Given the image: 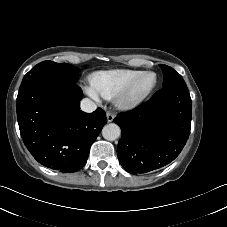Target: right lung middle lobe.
Here are the masks:
<instances>
[{"mask_svg": "<svg viewBox=\"0 0 227 227\" xmlns=\"http://www.w3.org/2000/svg\"><path fill=\"white\" fill-rule=\"evenodd\" d=\"M78 69L73 65L67 63H56L53 61H43L37 64L34 68H32L23 78V80L29 79L33 76L46 74L53 76H61L65 78H69L72 81H77Z\"/></svg>", "mask_w": 227, "mask_h": 227, "instance_id": "1", "label": "right lung middle lobe"}]
</instances>
